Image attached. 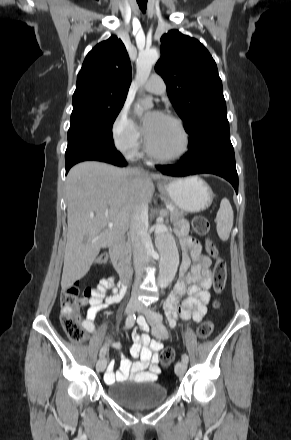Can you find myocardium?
I'll return each instance as SVG.
<instances>
[{
    "label": "myocardium",
    "instance_id": "myocardium-1",
    "mask_svg": "<svg viewBox=\"0 0 291 440\" xmlns=\"http://www.w3.org/2000/svg\"><path fill=\"white\" fill-rule=\"evenodd\" d=\"M163 116L165 118L169 119L170 121H172L176 125L178 130L180 131V133L182 135V149H181V151L177 155H174V156L161 155L151 146L147 136L145 137V148H146L148 155L152 159H154L158 162H163V163H174V162L181 160L182 158H184L187 155V153L189 151V147H190V137H189V133H188L184 123L182 122V120L180 118H178L174 115H171V114H164Z\"/></svg>",
    "mask_w": 291,
    "mask_h": 440
}]
</instances>
